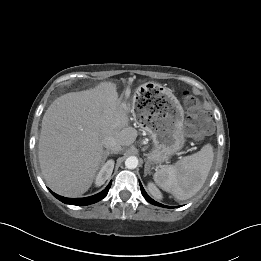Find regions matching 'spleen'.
I'll list each match as a JSON object with an SVG mask.
<instances>
[{
    "label": "spleen",
    "instance_id": "spleen-1",
    "mask_svg": "<svg viewBox=\"0 0 261 261\" xmlns=\"http://www.w3.org/2000/svg\"><path fill=\"white\" fill-rule=\"evenodd\" d=\"M214 158L213 147L206 144L197 153L154 173L155 183L178 200L193 197L205 183Z\"/></svg>",
    "mask_w": 261,
    "mask_h": 261
}]
</instances>
